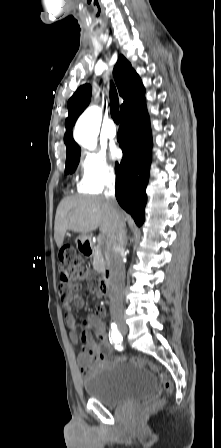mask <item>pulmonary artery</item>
<instances>
[{
	"instance_id": "e3ab8cb5",
	"label": "pulmonary artery",
	"mask_w": 221,
	"mask_h": 448,
	"mask_svg": "<svg viewBox=\"0 0 221 448\" xmlns=\"http://www.w3.org/2000/svg\"><path fill=\"white\" fill-rule=\"evenodd\" d=\"M106 135L109 139H114L117 136V129L115 127V124L113 121L109 120L107 122L106 128H105Z\"/></svg>"
}]
</instances>
